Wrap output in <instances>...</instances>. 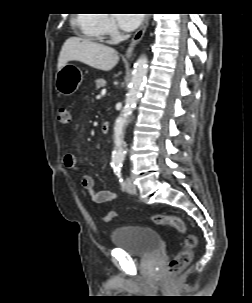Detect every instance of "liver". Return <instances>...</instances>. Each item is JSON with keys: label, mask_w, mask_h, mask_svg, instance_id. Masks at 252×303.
Segmentation results:
<instances>
[{"label": "liver", "mask_w": 252, "mask_h": 303, "mask_svg": "<svg viewBox=\"0 0 252 303\" xmlns=\"http://www.w3.org/2000/svg\"><path fill=\"white\" fill-rule=\"evenodd\" d=\"M69 61H79L93 68L109 71L119 61L118 53L111 47L79 37L68 38L58 58V71Z\"/></svg>", "instance_id": "6515ba94"}]
</instances>
